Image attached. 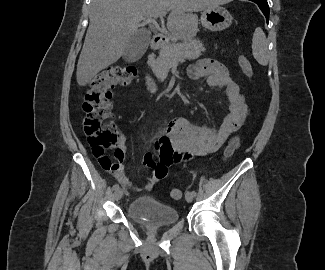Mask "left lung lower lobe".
<instances>
[{"label":"left lung lower lobe","mask_w":325,"mask_h":270,"mask_svg":"<svg viewBox=\"0 0 325 270\" xmlns=\"http://www.w3.org/2000/svg\"><path fill=\"white\" fill-rule=\"evenodd\" d=\"M251 1L258 4L259 8L261 9L263 14L265 15L266 21L268 23V20H269V6H268V3H267V0H251Z\"/></svg>","instance_id":"0a47b994"}]
</instances>
